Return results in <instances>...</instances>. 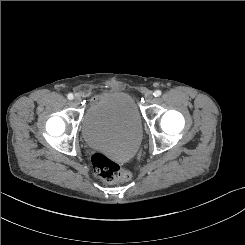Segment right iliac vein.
Listing matches in <instances>:
<instances>
[{"mask_svg": "<svg viewBox=\"0 0 245 245\" xmlns=\"http://www.w3.org/2000/svg\"><path fill=\"white\" fill-rule=\"evenodd\" d=\"M74 104H79L80 103V97L79 96H75L73 99Z\"/></svg>", "mask_w": 245, "mask_h": 245, "instance_id": "1", "label": "right iliac vein"}]
</instances>
